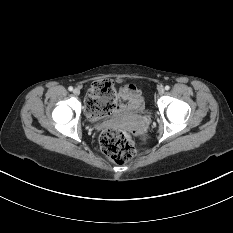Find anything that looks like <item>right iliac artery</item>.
Returning a JSON list of instances; mask_svg holds the SVG:
<instances>
[{
  "instance_id": "1",
  "label": "right iliac artery",
  "mask_w": 233,
  "mask_h": 233,
  "mask_svg": "<svg viewBox=\"0 0 233 233\" xmlns=\"http://www.w3.org/2000/svg\"><path fill=\"white\" fill-rule=\"evenodd\" d=\"M68 90H69V91H72V90H73V87H72V86H70V87L68 88Z\"/></svg>"
}]
</instances>
